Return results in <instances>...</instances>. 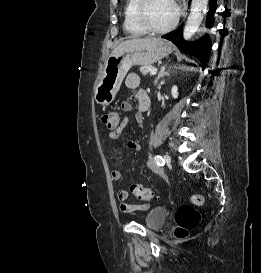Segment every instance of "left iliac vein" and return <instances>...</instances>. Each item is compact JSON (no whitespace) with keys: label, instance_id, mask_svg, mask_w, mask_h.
Masks as SVG:
<instances>
[{"label":"left iliac vein","instance_id":"left-iliac-vein-1","mask_svg":"<svg viewBox=\"0 0 261 273\" xmlns=\"http://www.w3.org/2000/svg\"><path fill=\"white\" fill-rule=\"evenodd\" d=\"M164 160H165V162L170 163L171 162V157L166 154V155H164Z\"/></svg>","mask_w":261,"mask_h":273}]
</instances>
